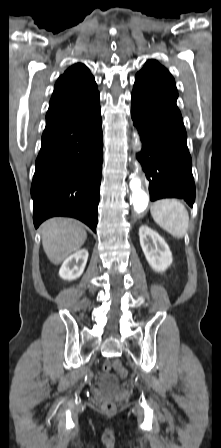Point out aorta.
<instances>
[{
  "mask_svg": "<svg viewBox=\"0 0 221 448\" xmlns=\"http://www.w3.org/2000/svg\"><path fill=\"white\" fill-rule=\"evenodd\" d=\"M136 144H140L138 137L136 138ZM130 189L134 209L137 213H141L148 206L149 196L141 189V181L135 175H131Z\"/></svg>",
  "mask_w": 221,
  "mask_h": 448,
  "instance_id": "obj_1",
  "label": "aorta"
}]
</instances>
